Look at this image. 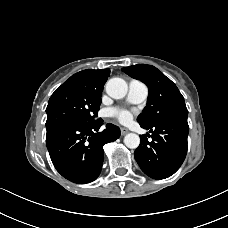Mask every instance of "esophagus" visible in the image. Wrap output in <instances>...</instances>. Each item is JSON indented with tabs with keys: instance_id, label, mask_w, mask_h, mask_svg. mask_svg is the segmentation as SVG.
<instances>
[{
	"instance_id": "esophagus-1",
	"label": "esophagus",
	"mask_w": 228,
	"mask_h": 228,
	"mask_svg": "<svg viewBox=\"0 0 228 228\" xmlns=\"http://www.w3.org/2000/svg\"><path fill=\"white\" fill-rule=\"evenodd\" d=\"M129 131H128V129L127 128H121V135H125V134H127Z\"/></svg>"
}]
</instances>
